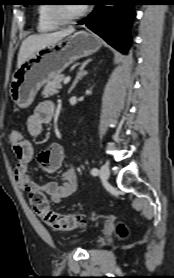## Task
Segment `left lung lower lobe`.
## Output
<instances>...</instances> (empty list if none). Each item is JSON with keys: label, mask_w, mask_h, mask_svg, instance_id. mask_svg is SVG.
Masks as SVG:
<instances>
[{"label": "left lung lower lobe", "mask_w": 174, "mask_h": 278, "mask_svg": "<svg viewBox=\"0 0 174 278\" xmlns=\"http://www.w3.org/2000/svg\"><path fill=\"white\" fill-rule=\"evenodd\" d=\"M95 5L92 13L79 23L85 24L120 52H127L131 44L130 27L135 16V0H97Z\"/></svg>", "instance_id": "left-lung-lower-lobe-1"}]
</instances>
